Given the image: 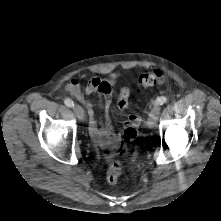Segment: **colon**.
<instances>
[{
  "mask_svg": "<svg viewBox=\"0 0 221 221\" xmlns=\"http://www.w3.org/2000/svg\"><path fill=\"white\" fill-rule=\"evenodd\" d=\"M164 82V74L161 70H153L147 73H143L139 77V84L142 88H149L156 85H160ZM130 92L128 89L124 88L121 90L118 98V106L127 105ZM137 126H130L125 129L124 132V142L125 146L121 151L120 155L125 156L129 152V145L137 137ZM122 174V165L118 161H111L107 171H106V180L110 184H115L118 182Z\"/></svg>",
  "mask_w": 221,
  "mask_h": 221,
  "instance_id": "1",
  "label": "colon"
}]
</instances>
